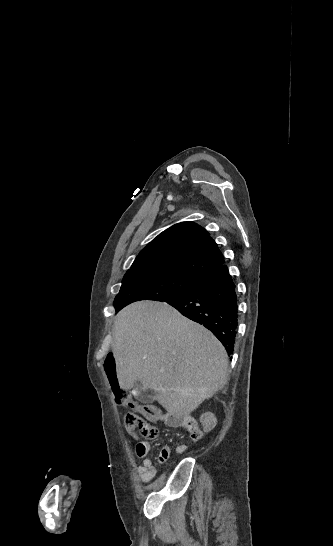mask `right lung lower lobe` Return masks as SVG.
Listing matches in <instances>:
<instances>
[{
  "mask_svg": "<svg viewBox=\"0 0 333 546\" xmlns=\"http://www.w3.org/2000/svg\"><path fill=\"white\" fill-rule=\"evenodd\" d=\"M235 287L227 266L223 264L205 275L191 291L164 302L211 330L230 355L238 327Z\"/></svg>",
  "mask_w": 333,
  "mask_h": 546,
  "instance_id": "right-lung-lower-lobe-1",
  "label": "right lung lower lobe"
}]
</instances>
